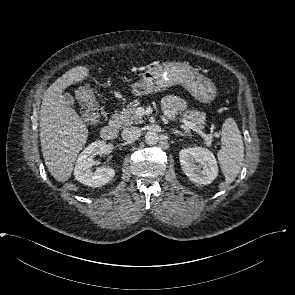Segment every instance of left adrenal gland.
I'll return each instance as SVG.
<instances>
[{"instance_id": "1", "label": "left adrenal gland", "mask_w": 295, "mask_h": 295, "mask_svg": "<svg viewBox=\"0 0 295 295\" xmlns=\"http://www.w3.org/2000/svg\"><path fill=\"white\" fill-rule=\"evenodd\" d=\"M171 131H172V133H174L175 135H180V136H190V134L187 133L186 131H185V132H181V131L176 130V129H172Z\"/></svg>"}]
</instances>
